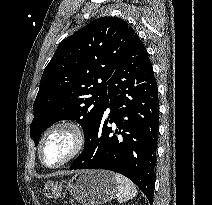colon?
Masks as SVG:
<instances>
[{"mask_svg": "<svg viewBox=\"0 0 212 205\" xmlns=\"http://www.w3.org/2000/svg\"><path fill=\"white\" fill-rule=\"evenodd\" d=\"M43 197L48 200H57L62 197V187L57 182H48L43 190Z\"/></svg>", "mask_w": 212, "mask_h": 205, "instance_id": "colon-1", "label": "colon"}]
</instances>
